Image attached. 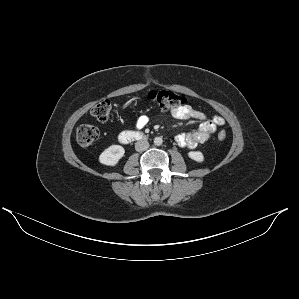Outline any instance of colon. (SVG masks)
Returning a JSON list of instances; mask_svg holds the SVG:
<instances>
[{
  "instance_id": "colon-1",
  "label": "colon",
  "mask_w": 299,
  "mask_h": 299,
  "mask_svg": "<svg viewBox=\"0 0 299 299\" xmlns=\"http://www.w3.org/2000/svg\"><path fill=\"white\" fill-rule=\"evenodd\" d=\"M148 100L157 108L163 111L173 110L181 107L185 103V98L175 92L168 90H151L147 94ZM111 113V103L109 100L98 102L91 110V114L99 121H105ZM99 138V130L97 127L84 124L76 130V140L81 146H89ZM218 139L223 141L226 139V132L220 131Z\"/></svg>"
}]
</instances>
